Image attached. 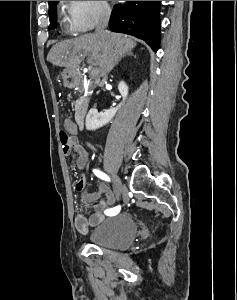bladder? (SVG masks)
<instances>
[{"mask_svg":"<svg viewBox=\"0 0 237 300\" xmlns=\"http://www.w3.org/2000/svg\"><path fill=\"white\" fill-rule=\"evenodd\" d=\"M138 230L132 216L120 213L105 218L89 231L87 238L91 244L101 248L125 249L135 241Z\"/></svg>","mask_w":237,"mask_h":300,"instance_id":"obj_1","label":"bladder"}]
</instances>
